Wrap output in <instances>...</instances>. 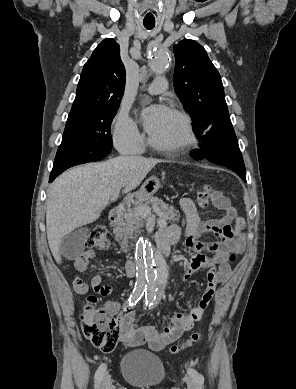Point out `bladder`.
Listing matches in <instances>:
<instances>
[{
	"instance_id": "31cf9c89",
	"label": "bladder",
	"mask_w": 296,
	"mask_h": 389,
	"mask_svg": "<svg viewBox=\"0 0 296 389\" xmlns=\"http://www.w3.org/2000/svg\"><path fill=\"white\" fill-rule=\"evenodd\" d=\"M121 372L126 382L139 389L156 387L163 383L166 376L161 359L142 349H133L123 355Z\"/></svg>"
}]
</instances>
